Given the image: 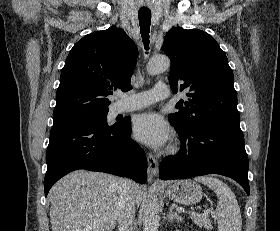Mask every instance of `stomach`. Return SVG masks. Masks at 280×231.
Instances as JSON below:
<instances>
[{"instance_id": "obj_1", "label": "stomach", "mask_w": 280, "mask_h": 231, "mask_svg": "<svg viewBox=\"0 0 280 231\" xmlns=\"http://www.w3.org/2000/svg\"><path fill=\"white\" fill-rule=\"evenodd\" d=\"M165 195L168 199L177 201V203L194 205V203L200 201L203 191L196 181L180 179V181H169V185L165 189Z\"/></svg>"}]
</instances>
